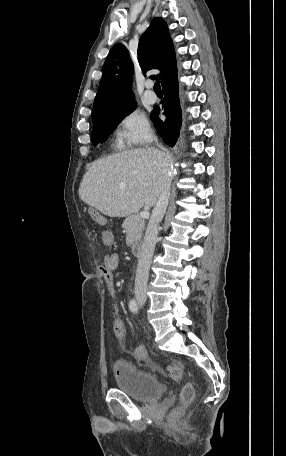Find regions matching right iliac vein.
I'll return each mask as SVG.
<instances>
[{
  "label": "right iliac vein",
  "mask_w": 286,
  "mask_h": 456,
  "mask_svg": "<svg viewBox=\"0 0 286 456\" xmlns=\"http://www.w3.org/2000/svg\"><path fill=\"white\" fill-rule=\"evenodd\" d=\"M137 301H138L140 304H144L145 301H146V299H145L144 297H142V296H138V297H137Z\"/></svg>",
  "instance_id": "obj_1"
}]
</instances>
